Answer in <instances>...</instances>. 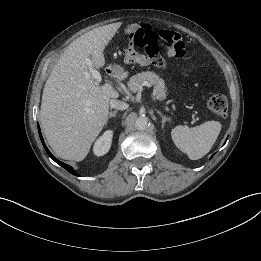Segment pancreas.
I'll use <instances>...</instances> for the list:
<instances>
[{"label":"pancreas","instance_id":"cf45deb5","mask_svg":"<svg viewBox=\"0 0 261 261\" xmlns=\"http://www.w3.org/2000/svg\"><path fill=\"white\" fill-rule=\"evenodd\" d=\"M144 81L150 82L154 87V95L156 99L163 100L166 97V89L164 81L153 72H142L134 75L128 82L129 89L132 92H136L140 89L141 84Z\"/></svg>","mask_w":261,"mask_h":261}]
</instances>
